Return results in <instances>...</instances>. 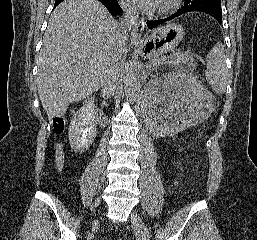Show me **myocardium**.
<instances>
[{"label":"myocardium","instance_id":"obj_1","mask_svg":"<svg viewBox=\"0 0 257 240\" xmlns=\"http://www.w3.org/2000/svg\"><path fill=\"white\" fill-rule=\"evenodd\" d=\"M180 0H163L159 9L160 13H167L174 10Z\"/></svg>","mask_w":257,"mask_h":240}]
</instances>
